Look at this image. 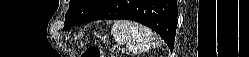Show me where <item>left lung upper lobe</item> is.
<instances>
[{
	"instance_id": "5c2ea615",
	"label": "left lung upper lobe",
	"mask_w": 249,
	"mask_h": 57,
	"mask_svg": "<svg viewBox=\"0 0 249 57\" xmlns=\"http://www.w3.org/2000/svg\"><path fill=\"white\" fill-rule=\"evenodd\" d=\"M111 0H70L64 30L80 25L99 13Z\"/></svg>"
}]
</instances>
